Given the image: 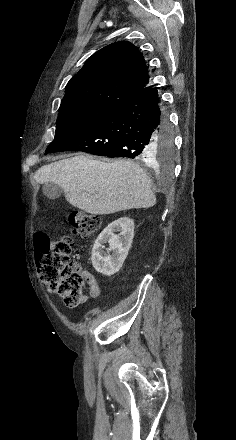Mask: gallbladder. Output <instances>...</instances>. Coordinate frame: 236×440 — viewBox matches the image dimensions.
I'll use <instances>...</instances> for the list:
<instances>
[{
  "mask_svg": "<svg viewBox=\"0 0 236 440\" xmlns=\"http://www.w3.org/2000/svg\"><path fill=\"white\" fill-rule=\"evenodd\" d=\"M43 194L50 200H56L61 197L63 190L53 182H47L43 185Z\"/></svg>",
  "mask_w": 236,
  "mask_h": 440,
  "instance_id": "gallbladder-1",
  "label": "gallbladder"
}]
</instances>
